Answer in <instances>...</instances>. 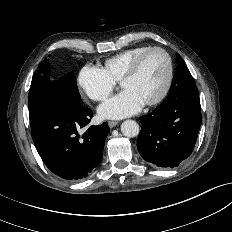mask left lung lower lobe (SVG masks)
Masks as SVG:
<instances>
[{
  "label": "left lung lower lobe",
  "mask_w": 232,
  "mask_h": 232,
  "mask_svg": "<svg viewBox=\"0 0 232 232\" xmlns=\"http://www.w3.org/2000/svg\"><path fill=\"white\" fill-rule=\"evenodd\" d=\"M140 121L137 149L142 158L159 168L177 167L194 149L202 123L200 98L171 92Z\"/></svg>",
  "instance_id": "left-lung-lower-lobe-1"
}]
</instances>
